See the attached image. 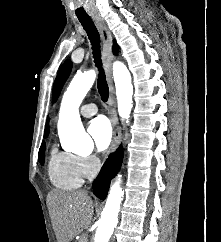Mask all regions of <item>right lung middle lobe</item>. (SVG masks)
<instances>
[{
  "label": "right lung middle lobe",
  "mask_w": 221,
  "mask_h": 242,
  "mask_svg": "<svg viewBox=\"0 0 221 242\" xmlns=\"http://www.w3.org/2000/svg\"><path fill=\"white\" fill-rule=\"evenodd\" d=\"M45 138L47 136H44ZM44 152H45V142L42 143L40 150H39V155H38V159L39 162L43 165L44 164Z\"/></svg>",
  "instance_id": "dd1d6c3e"
}]
</instances>
